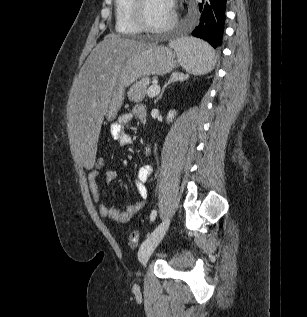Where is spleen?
Returning <instances> with one entry per match:
<instances>
[{"label":"spleen","mask_w":307,"mask_h":317,"mask_svg":"<svg viewBox=\"0 0 307 317\" xmlns=\"http://www.w3.org/2000/svg\"><path fill=\"white\" fill-rule=\"evenodd\" d=\"M177 54L178 62L188 73L204 75L214 65L215 52L210 45L195 38H184L170 43Z\"/></svg>","instance_id":"obj_1"}]
</instances>
